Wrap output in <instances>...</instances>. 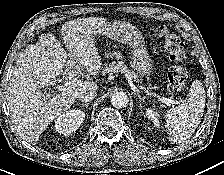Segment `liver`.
<instances>
[{"mask_svg": "<svg viewBox=\"0 0 224 175\" xmlns=\"http://www.w3.org/2000/svg\"><path fill=\"white\" fill-rule=\"evenodd\" d=\"M106 23L98 17L65 22L61 33L69 53L53 34L44 33L20 55L9 83L8 106L23 140L38 141L43 129L73 105L78 92L97 90L95 82L82 81L76 86L57 85L58 94L53 97L42 92L45 86L55 85L60 74L75 77L83 69L92 75L100 72L102 63L93 34Z\"/></svg>", "mask_w": 224, "mask_h": 175, "instance_id": "liver-1", "label": "liver"}]
</instances>
